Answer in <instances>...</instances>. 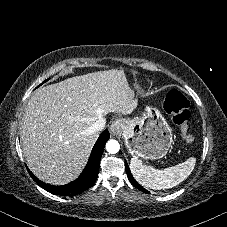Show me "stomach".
Returning <instances> with one entry per match:
<instances>
[{
  "mask_svg": "<svg viewBox=\"0 0 227 227\" xmlns=\"http://www.w3.org/2000/svg\"><path fill=\"white\" fill-rule=\"evenodd\" d=\"M122 134L128 152L143 159H159L172 145V131L162 114L153 107L134 119L123 120Z\"/></svg>",
  "mask_w": 227,
  "mask_h": 227,
  "instance_id": "0dacf381",
  "label": "stomach"
}]
</instances>
